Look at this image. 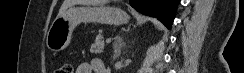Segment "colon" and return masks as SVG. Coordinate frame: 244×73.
<instances>
[{
	"label": "colon",
	"instance_id": "5ec220e1",
	"mask_svg": "<svg viewBox=\"0 0 244 73\" xmlns=\"http://www.w3.org/2000/svg\"><path fill=\"white\" fill-rule=\"evenodd\" d=\"M56 73H73V63L64 62L58 69Z\"/></svg>",
	"mask_w": 244,
	"mask_h": 73
}]
</instances>
